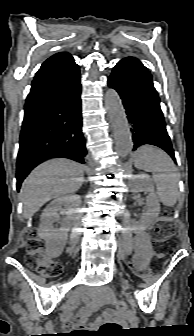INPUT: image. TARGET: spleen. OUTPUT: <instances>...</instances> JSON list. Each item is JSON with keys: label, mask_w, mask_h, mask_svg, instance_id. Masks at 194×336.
<instances>
[{"label": "spleen", "mask_w": 194, "mask_h": 336, "mask_svg": "<svg viewBox=\"0 0 194 336\" xmlns=\"http://www.w3.org/2000/svg\"><path fill=\"white\" fill-rule=\"evenodd\" d=\"M136 168L152 172L160 201L169 207L176 204L178 198V175L171 158L161 149L145 145L134 154Z\"/></svg>", "instance_id": "spleen-1"}]
</instances>
